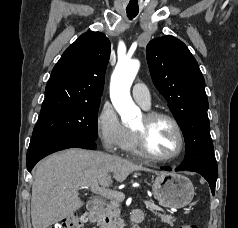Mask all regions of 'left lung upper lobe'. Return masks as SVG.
I'll return each instance as SVG.
<instances>
[{
    "label": "left lung upper lobe",
    "instance_id": "5c2ea615",
    "mask_svg": "<svg viewBox=\"0 0 238 228\" xmlns=\"http://www.w3.org/2000/svg\"><path fill=\"white\" fill-rule=\"evenodd\" d=\"M146 56L153 83L168 102L184 135L186 155L181 166L217 172L205 81L197 61L187 46L173 36L151 40Z\"/></svg>",
    "mask_w": 238,
    "mask_h": 228
}]
</instances>
